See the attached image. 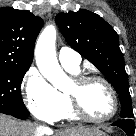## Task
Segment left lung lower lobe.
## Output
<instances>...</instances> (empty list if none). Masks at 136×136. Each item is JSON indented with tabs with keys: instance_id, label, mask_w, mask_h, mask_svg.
Wrapping results in <instances>:
<instances>
[{
	"instance_id": "left-lung-lower-lobe-1",
	"label": "left lung lower lobe",
	"mask_w": 136,
	"mask_h": 136,
	"mask_svg": "<svg viewBox=\"0 0 136 136\" xmlns=\"http://www.w3.org/2000/svg\"><path fill=\"white\" fill-rule=\"evenodd\" d=\"M112 125L117 126L124 130L128 136H134L135 126L132 118L120 119L114 122Z\"/></svg>"
}]
</instances>
